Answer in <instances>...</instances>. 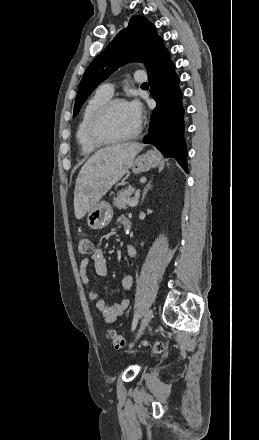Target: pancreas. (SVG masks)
Returning a JSON list of instances; mask_svg holds the SVG:
<instances>
[{"mask_svg": "<svg viewBox=\"0 0 259 440\" xmlns=\"http://www.w3.org/2000/svg\"><path fill=\"white\" fill-rule=\"evenodd\" d=\"M135 192L134 188H128L124 191L120 192L117 197L114 199L113 205L118 209H127L129 202L133 199H136V197L131 198L130 196Z\"/></svg>", "mask_w": 259, "mask_h": 440, "instance_id": "cf45deb5", "label": "pancreas"}]
</instances>
